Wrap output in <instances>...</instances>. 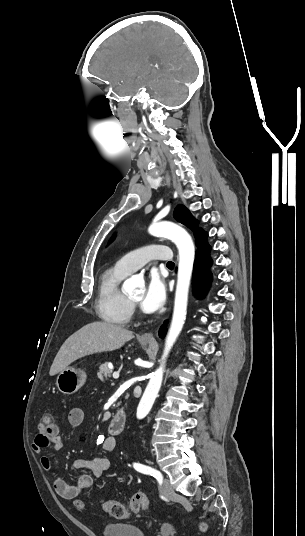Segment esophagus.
Listing matches in <instances>:
<instances>
[{
    "label": "esophagus",
    "instance_id": "obj_1",
    "mask_svg": "<svg viewBox=\"0 0 305 536\" xmlns=\"http://www.w3.org/2000/svg\"><path fill=\"white\" fill-rule=\"evenodd\" d=\"M165 179H166V183H167V185L169 186V185H170V180H171L170 177H169V176H166ZM141 340H142L143 342L153 341V340H154V338H153V334H152V333H145V334H143V335L141 336Z\"/></svg>",
    "mask_w": 305,
    "mask_h": 536
}]
</instances>
